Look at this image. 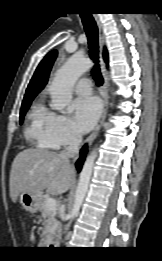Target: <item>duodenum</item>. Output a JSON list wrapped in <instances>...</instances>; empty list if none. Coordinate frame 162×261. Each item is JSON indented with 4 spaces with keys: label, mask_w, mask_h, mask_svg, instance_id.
I'll list each match as a JSON object with an SVG mask.
<instances>
[{
    "label": "duodenum",
    "mask_w": 162,
    "mask_h": 261,
    "mask_svg": "<svg viewBox=\"0 0 162 261\" xmlns=\"http://www.w3.org/2000/svg\"><path fill=\"white\" fill-rule=\"evenodd\" d=\"M54 244H55V238H54L53 236H50V237L48 238V243H47V245L52 246V245H54Z\"/></svg>",
    "instance_id": "410a0bca"
}]
</instances>
